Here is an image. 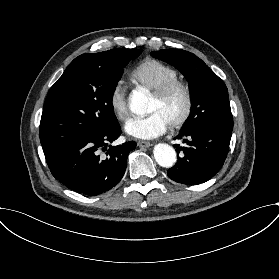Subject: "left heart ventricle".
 Instances as JSON below:
<instances>
[{"label": "left heart ventricle", "mask_w": 279, "mask_h": 279, "mask_svg": "<svg viewBox=\"0 0 279 279\" xmlns=\"http://www.w3.org/2000/svg\"><path fill=\"white\" fill-rule=\"evenodd\" d=\"M185 105L184 94L181 90H176L167 98L159 100L152 96L150 101L149 112L160 111L167 121L171 124L183 112Z\"/></svg>", "instance_id": "b2bd125f"}]
</instances>
